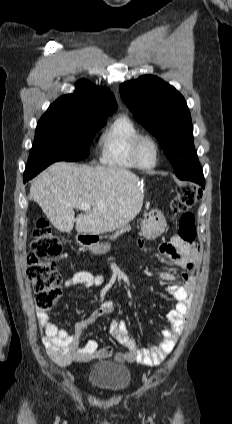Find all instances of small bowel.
Here are the masks:
<instances>
[{"label":"small bowel","mask_w":232,"mask_h":424,"mask_svg":"<svg viewBox=\"0 0 232 424\" xmlns=\"http://www.w3.org/2000/svg\"><path fill=\"white\" fill-rule=\"evenodd\" d=\"M138 244L142 246L143 242L139 240ZM159 251L180 267L182 283L171 284L165 288L166 292L176 300V305L167 313L170 328L162 332L158 344L152 345L148 349L139 348L136 341L129 336L126 322L114 319L109 326V333L120 345L125 347V351L115 353L111 347L101 348L93 339L81 345V337L88 326L101 317L115 312V306L111 300L103 301L87 318L78 322L72 332L59 328L50 321L47 312L37 309L43 343L48 355L55 363L66 366L74 362L113 357L118 362H138L147 366H156L173 351L183 332L186 317L193 304L194 272L199 264L200 249L195 243L185 242L179 236L173 235L169 240L160 244ZM155 278L161 282H173L176 276L173 272L165 271L157 273ZM104 281L105 279L101 275L78 270L66 279L64 287H99L104 284Z\"/></svg>","instance_id":"small-bowel-1"}]
</instances>
